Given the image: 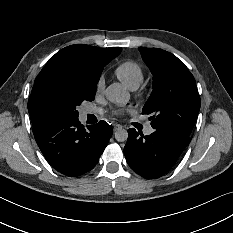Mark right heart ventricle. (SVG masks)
Instances as JSON below:
<instances>
[{
  "mask_svg": "<svg viewBox=\"0 0 233 233\" xmlns=\"http://www.w3.org/2000/svg\"><path fill=\"white\" fill-rule=\"evenodd\" d=\"M116 77L129 89H136L144 79L142 66L131 59L119 63L114 71Z\"/></svg>",
  "mask_w": 233,
  "mask_h": 233,
  "instance_id": "obj_1",
  "label": "right heart ventricle"
}]
</instances>
